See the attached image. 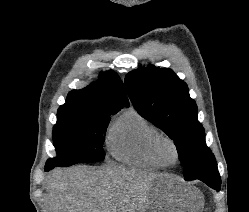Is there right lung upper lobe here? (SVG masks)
Returning a JSON list of instances; mask_svg holds the SVG:
<instances>
[{
  "instance_id": "right-lung-upper-lobe-1",
  "label": "right lung upper lobe",
  "mask_w": 249,
  "mask_h": 212,
  "mask_svg": "<svg viewBox=\"0 0 249 212\" xmlns=\"http://www.w3.org/2000/svg\"><path fill=\"white\" fill-rule=\"evenodd\" d=\"M66 105L120 110L129 106L123 83L114 71L102 73L99 82L71 91Z\"/></svg>"
}]
</instances>
